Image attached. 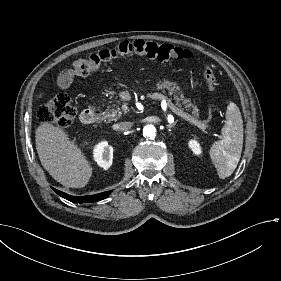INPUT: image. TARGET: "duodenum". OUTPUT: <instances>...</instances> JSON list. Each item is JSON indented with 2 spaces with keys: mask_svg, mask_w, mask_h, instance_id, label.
<instances>
[{
  "mask_svg": "<svg viewBox=\"0 0 281 281\" xmlns=\"http://www.w3.org/2000/svg\"><path fill=\"white\" fill-rule=\"evenodd\" d=\"M102 118V108H87L84 109L80 115V119L84 124H91L97 122Z\"/></svg>",
  "mask_w": 281,
  "mask_h": 281,
  "instance_id": "duodenum-1",
  "label": "duodenum"
}]
</instances>
